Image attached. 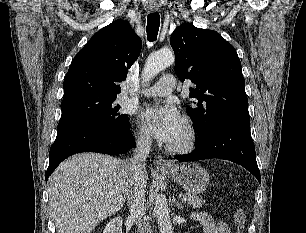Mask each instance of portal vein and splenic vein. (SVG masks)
Wrapping results in <instances>:
<instances>
[{
	"label": "portal vein and splenic vein",
	"instance_id": "obj_1",
	"mask_svg": "<svg viewBox=\"0 0 306 233\" xmlns=\"http://www.w3.org/2000/svg\"><path fill=\"white\" fill-rule=\"evenodd\" d=\"M186 201H187V198L183 197L182 202H186Z\"/></svg>",
	"mask_w": 306,
	"mask_h": 233
}]
</instances>
